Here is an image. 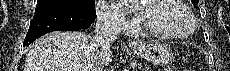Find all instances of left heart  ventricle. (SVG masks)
Masks as SVG:
<instances>
[{"label":"left heart ventricle","instance_id":"1","mask_svg":"<svg viewBox=\"0 0 230 71\" xmlns=\"http://www.w3.org/2000/svg\"><path fill=\"white\" fill-rule=\"evenodd\" d=\"M148 22L154 27L176 34L187 32L191 28V20L184 9L173 0H155L143 2Z\"/></svg>","mask_w":230,"mask_h":71}]
</instances>
